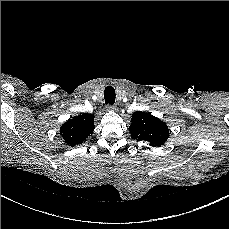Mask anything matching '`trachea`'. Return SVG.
I'll list each match as a JSON object with an SVG mask.
<instances>
[{"mask_svg": "<svg viewBox=\"0 0 229 229\" xmlns=\"http://www.w3.org/2000/svg\"><path fill=\"white\" fill-rule=\"evenodd\" d=\"M115 89L112 86H107L104 90L105 104L113 105L115 103Z\"/></svg>", "mask_w": 229, "mask_h": 229, "instance_id": "3493384b", "label": "trachea"}]
</instances>
